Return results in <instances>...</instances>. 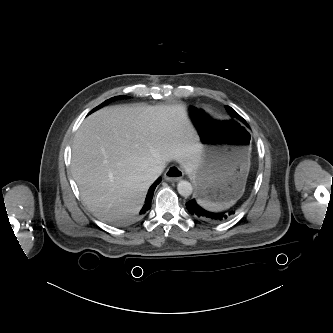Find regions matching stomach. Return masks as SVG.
<instances>
[{
	"label": "stomach",
	"instance_id": "1",
	"mask_svg": "<svg viewBox=\"0 0 333 333\" xmlns=\"http://www.w3.org/2000/svg\"><path fill=\"white\" fill-rule=\"evenodd\" d=\"M199 136L201 160L192 173L197 198L233 205L243 194L250 169L252 137L238 124L213 118L207 109L188 108Z\"/></svg>",
	"mask_w": 333,
	"mask_h": 333
}]
</instances>
